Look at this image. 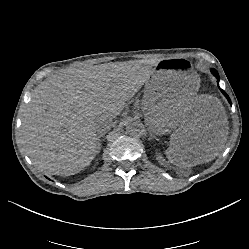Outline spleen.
I'll return each instance as SVG.
<instances>
[{
    "label": "spleen",
    "instance_id": "1",
    "mask_svg": "<svg viewBox=\"0 0 249 249\" xmlns=\"http://www.w3.org/2000/svg\"><path fill=\"white\" fill-rule=\"evenodd\" d=\"M173 150L171 148H169L167 151H166V155L169 159H171V157L168 155V153H171L172 154ZM175 159V158H173Z\"/></svg>",
    "mask_w": 249,
    "mask_h": 249
}]
</instances>
